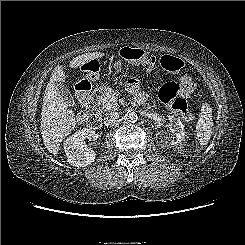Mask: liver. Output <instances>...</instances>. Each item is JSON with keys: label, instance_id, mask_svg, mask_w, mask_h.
<instances>
[{"label": "liver", "instance_id": "liver-1", "mask_svg": "<svg viewBox=\"0 0 245 245\" xmlns=\"http://www.w3.org/2000/svg\"><path fill=\"white\" fill-rule=\"evenodd\" d=\"M102 52H91L78 55L70 61L71 68L81 67L89 61L101 58ZM65 71L61 65H57L51 74L47 84L42 104L40 132L45 147L56 155L60 143L69 136L76 127L75 113L68 108L63 97L58 91L57 83L65 82Z\"/></svg>", "mask_w": 245, "mask_h": 245}]
</instances>
